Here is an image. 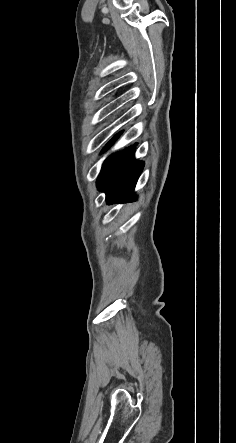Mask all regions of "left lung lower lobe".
I'll use <instances>...</instances> for the list:
<instances>
[{"instance_id": "0a47b994", "label": "left lung lower lobe", "mask_w": 236, "mask_h": 443, "mask_svg": "<svg viewBox=\"0 0 236 443\" xmlns=\"http://www.w3.org/2000/svg\"><path fill=\"white\" fill-rule=\"evenodd\" d=\"M117 134L103 148L106 151L119 137ZM135 146H130L117 156H109L97 178V188L106 193L108 204L135 199L134 188L144 163L134 159Z\"/></svg>"}]
</instances>
